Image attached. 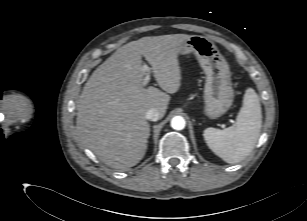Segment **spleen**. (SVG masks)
<instances>
[{
	"label": "spleen",
	"mask_w": 307,
	"mask_h": 221,
	"mask_svg": "<svg viewBox=\"0 0 307 221\" xmlns=\"http://www.w3.org/2000/svg\"><path fill=\"white\" fill-rule=\"evenodd\" d=\"M262 126L260 100L252 88L243 98L236 125L223 130L207 128L203 136L208 147L222 160L236 164L245 159L254 149Z\"/></svg>",
	"instance_id": "3e777b00"
}]
</instances>
